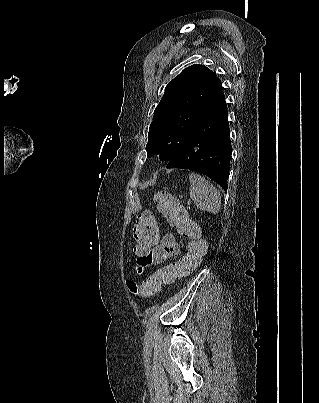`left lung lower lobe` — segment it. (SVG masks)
<instances>
[{"mask_svg": "<svg viewBox=\"0 0 319 403\" xmlns=\"http://www.w3.org/2000/svg\"><path fill=\"white\" fill-rule=\"evenodd\" d=\"M230 129L224 92L207 108L166 168L202 173L227 190L231 159Z\"/></svg>", "mask_w": 319, "mask_h": 403, "instance_id": "0a47b994", "label": "left lung lower lobe"}]
</instances>
